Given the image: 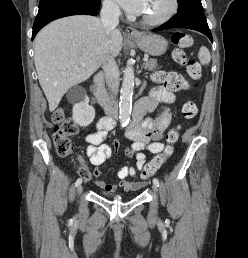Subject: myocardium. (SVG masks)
Instances as JSON below:
<instances>
[{
  "mask_svg": "<svg viewBox=\"0 0 248 258\" xmlns=\"http://www.w3.org/2000/svg\"><path fill=\"white\" fill-rule=\"evenodd\" d=\"M171 5L170 8L168 9V11L158 17V18H144L142 17V21L147 24V25H151V26H156V25H162L166 22H168L177 12L178 7H179V1L178 0H171Z\"/></svg>",
  "mask_w": 248,
  "mask_h": 258,
  "instance_id": "obj_1",
  "label": "myocardium"
}]
</instances>
